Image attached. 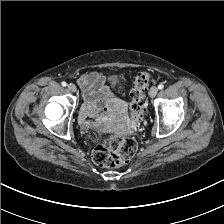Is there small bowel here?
I'll return each instance as SVG.
<instances>
[{"mask_svg": "<svg viewBox=\"0 0 224 224\" xmlns=\"http://www.w3.org/2000/svg\"><path fill=\"white\" fill-rule=\"evenodd\" d=\"M78 83L83 91L84 104L80 112V123L83 127L91 125L88 120L95 115V109L107 111L108 102L114 98L113 92L106 77L98 72H90L82 75ZM122 92V87L118 88Z\"/></svg>", "mask_w": 224, "mask_h": 224, "instance_id": "1", "label": "small bowel"}]
</instances>
